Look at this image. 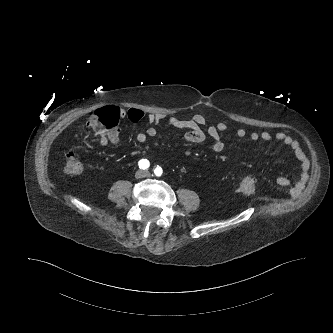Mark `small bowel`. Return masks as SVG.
Listing matches in <instances>:
<instances>
[{"instance_id": "obj_1", "label": "small bowel", "mask_w": 333, "mask_h": 333, "mask_svg": "<svg viewBox=\"0 0 333 333\" xmlns=\"http://www.w3.org/2000/svg\"><path fill=\"white\" fill-rule=\"evenodd\" d=\"M121 116L134 123H138L143 120L148 122L149 126L146 128V130L139 132L136 135V140L138 143H145L148 138L156 137L158 135L157 127L168 125L175 129L185 130L183 139L188 143H202L208 136L212 140L211 150L214 153H220L223 151L225 144L222 138V134L229 130V126L225 122L212 124L206 119L205 116L201 114H195L188 119H183L174 116H167L163 113H151L146 115L139 109L130 108L123 111ZM235 135L240 139L246 138L248 136L249 139L253 142H271L273 140H277L289 147L303 170L301 178L292 186L291 193L295 194L300 190L305 181V173L309 168V160L298 140L282 131H277L274 133L269 131H253L248 134L244 128H237L235 130ZM119 141L120 138L118 132L115 134L113 132H108L106 135H100L96 139V144L100 148H105L107 145L113 146ZM247 177H252L255 179L254 176ZM278 182L281 185H288L291 183V181L286 177L279 178Z\"/></svg>"}]
</instances>
